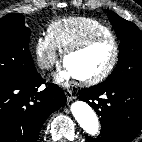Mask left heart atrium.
Instances as JSON below:
<instances>
[{"instance_id":"obj_1","label":"left heart atrium","mask_w":142,"mask_h":142,"mask_svg":"<svg viewBox=\"0 0 142 142\" xmlns=\"http://www.w3.org/2000/svg\"><path fill=\"white\" fill-rule=\"evenodd\" d=\"M77 78L73 71L64 64V66L59 69L55 75V79L60 84H66L70 80Z\"/></svg>"}]
</instances>
